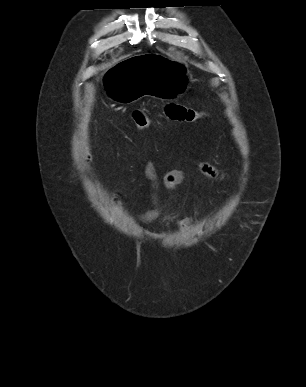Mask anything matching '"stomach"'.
Returning a JSON list of instances; mask_svg holds the SVG:
<instances>
[{"label": "stomach", "mask_w": 306, "mask_h": 387, "mask_svg": "<svg viewBox=\"0 0 306 387\" xmlns=\"http://www.w3.org/2000/svg\"><path fill=\"white\" fill-rule=\"evenodd\" d=\"M158 46H141L140 55H132L111 70H103L108 97L117 103L129 104L141 96L166 99V95H181L189 82L184 63L154 55Z\"/></svg>", "instance_id": "stomach-1"}]
</instances>
